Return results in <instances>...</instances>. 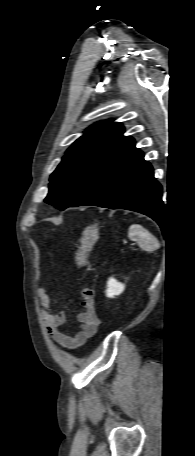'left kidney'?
<instances>
[{
	"mask_svg": "<svg viewBox=\"0 0 195 456\" xmlns=\"http://www.w3.org/2000/svg\"><path fill=\"white\" fill-rule=\"evenodd\" d=\"M124 289V284L111 277L107 282L106 296L109 298H114L115 296L120 295Z\"/></svg>",
	"mask_w": 195,
	"mask_h": 456,
	"instance_id": "1",
	"label": "left kidney"
}]
</instances>
